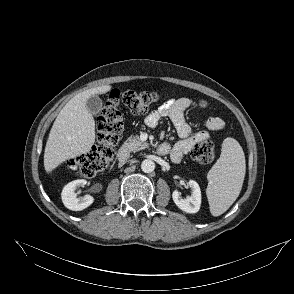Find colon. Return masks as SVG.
<instances>
[{
    "instance_id": "5ec220e1",
    "label": "colon",
    "mask_w": 294,
    "mask_h": 294,
    "mask_svg": "<svg viewBox=\"0 0 294 294\" xmlns=\"http://www.w3.org/2000/svg\"><path fill=\"white\" fill-rule=\"evenodd\" d=\"M158 100L157 92L111 91L97 117V144L85 154L70 159V168L83 177H93L105 171L113 161L115 146L123 130L120 105L123 104L133 114H144ZM200 104L204 106L205 102L201 101ZM214 153V145L208 139L196 141L190 151L192 159L200 164H208L213 159Z\"/></svg>"
}]
</instances>
